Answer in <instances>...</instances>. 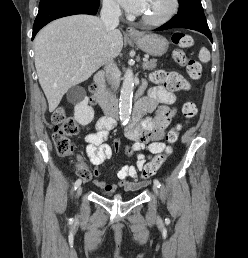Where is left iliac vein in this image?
<instances>
[{
  "instance_id": "4c4485c4",
  "label": "left iliac vein",
  "mask_w": 248,
  "mask_h": 258,
  "mask_svg": "<svg viewBox=\"0 0 248 258\" xmlns=\"http://www.w3.org/2000/svg\"><path fill=\"white\" fill-rule=\"evenodd\" d=\"M152 189H153L154 194L156 196H159V190H158V187L155 184L153 185Z\"/></svg>"
}]
</instances>
